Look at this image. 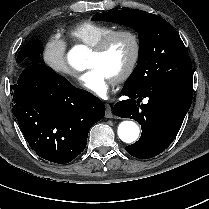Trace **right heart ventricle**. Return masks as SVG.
Wrapping results in <instances>:
<instances>
[{
  "label": "right heart ventricle",
  "mask_w": 209,
  "mask_h": 209,
  "mask_svg": "<svg viewBox=\"0 0 209 209\" xmlns=\"http://www.w3.org/2000/svg\"><path fill=\"white\" fill-rule=\"evenodd\" d=\"M115 28L107 23L83 21L67 29L66 35L73 41L93 47Z\"/></svg>",
  "instance_id": "right-heart-ventricle-1"
}]
</instances>
